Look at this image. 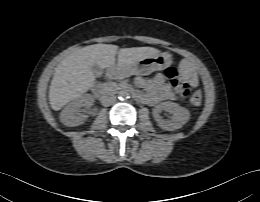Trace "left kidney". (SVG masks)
<instances>
[{"label": "left kidney", "instance_id": "obj_1", "mask_svg": "<svg viewBox=\"0 0 260 202\" xmlns=\"http://www.w3.org/2000/svg\"><path fill=\"white\" fill-rule=\"evenodd\" d=\"M162 111H167L173 115L171 120H163L160 117ZM153 116L158 125L167 131H174L181 128L190 119L189 111L174 102H163L155 106Z\"/></svg>", "mask_w": 260, "mask_h": 202}]
</instances>
